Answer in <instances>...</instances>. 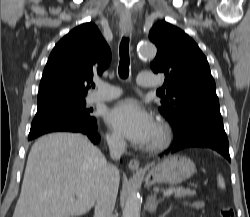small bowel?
Listing matches in <instances>:
<instances>
[{
	"instance_id": "c3829d8e",
	"label": "small bowel",
	"mask_w": 250,
	"mask_h": 217,
	"mask_svg": "<svg viewBox=\"0 0 250 217\" xmlns=\"http://www.w3.org/2000/svg\"><path fill=\"white\" fill-rule=\"evenodd\" d=\"M204 206V203L203 201H196V202H193L190 204V207L193 208V209H202Z\"/></svg>"
}]
</instances>
